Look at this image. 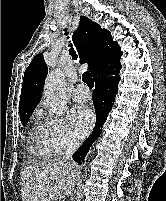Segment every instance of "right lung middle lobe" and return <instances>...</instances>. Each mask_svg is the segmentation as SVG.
<instances>
[{
    "label": "right lung middle lobe",
    "mask_w": 166,
    "mask_h": 201,
    "mask_svg": "<svg viewBox=\"0 0 166 201\" xmlns=\"http://www.w3.org/2000/svg\"><path fill=\"white\" fill-rule=\"evenodd\" d=\"M29 117L30 116H25V117L20 118L21 123H22L23 126L27 123V121L29 120Z\"/></svg>",
    "instance_id": "1"
}]
</instances>
